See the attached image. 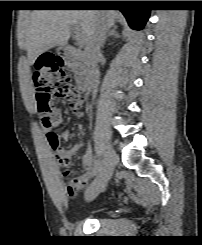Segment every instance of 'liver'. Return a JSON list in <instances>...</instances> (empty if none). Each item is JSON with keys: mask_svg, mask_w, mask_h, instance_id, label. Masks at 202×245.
I'll use <instances>...</instances> for the list:
<instances>
[{"mask_svg": "<svg viewBox=\"0 0 202 245\" xmlns=\"http://www.w3.org/2000/svg\"><path fill=\"white\" fill-rule=\"evenodd\" d=\"M118 13L95 10H34L30 26L22 38L30 64L55 46L65 45L71 34V26L77 25L84 32L87 44L99 17H103L109 27L115 24Z\"/></svg>", "mask_w": 202, "mask_h": 245, "instance_id": "liver-1", "label": "liver"}]
</instances>
